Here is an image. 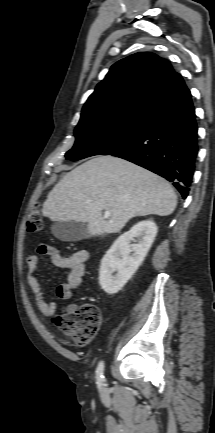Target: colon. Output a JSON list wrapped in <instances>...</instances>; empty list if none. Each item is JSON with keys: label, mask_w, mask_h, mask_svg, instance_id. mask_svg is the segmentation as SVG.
<instances>
[{"label": "colon", "mask_w": 215, "mask_h": 433, "mask_svg": "<svg viewBox=\"0 0 215 433\" xmlns=\"http://www.w3.org/2000/svg\"><path fill=\"white\" fill-rule=\"evenodd\" d=\"M26 228L30 233H36L43 229V218L37 204L29 213ZM55 323L77 344L85 345L90 343L98 332L100 310L95 304L85 303L73 312L57 316Z\"/></svg>", "instance_id": "5ec220e1"}]
</instances>
